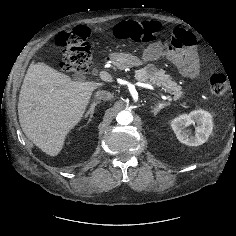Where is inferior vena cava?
<instances>
[{"instance_id": "1", "label": "inferior vena cava", "mask_w": 236, "mask_h": 236, "mask_svg": "<svg viewBox=\"0 0 236 236\" xmlns=\"http://www.w3.org/2000/svg\"><path fill=\"white\" fill-rule=\"evenodd\" d=\"M95 97L96 99L98 100H111L112 98V94L108 91H105V90H98L96 93H95Z\"/></svg>"}]
</instances>
